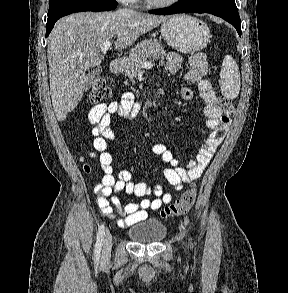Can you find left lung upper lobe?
Masks as SVG:
<instances>
[{"instance_id": "obj_1", "label": "left lung upper lobe", "mask_w": 288, "mask_h": 293, "mask_svg": "<svg viewBox=\"0 0 288 293\" xmlns=\"http://www.w3.org/2000/svg\"><path fill=\"white\" fill-rule=\"evenodd\" d=\"M186 1L195 2L198 4L204 3V2H217V3L227 5L229 7H234V8L236 7L235 0H186Z\"/></svg>"}]
</instances>
